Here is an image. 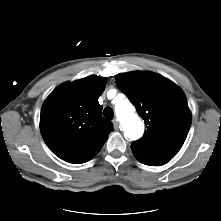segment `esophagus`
<instances>
[{"label": "esophagus", "instance_id": "obj_1", "mask_svg": "<svg viewBox=\"0 0 221 221\" xmlns=\"http://www.w3.org/2000/svg\"><path fill=\"white\" fill-rule=\"evenodd\" d=\"M113 125H114V128L116 130H118L120 128V124H119V121L117 119H114L113 120Z\"/></svg>", "mask_w": 221, "mask_h": 221}]
</instances>
